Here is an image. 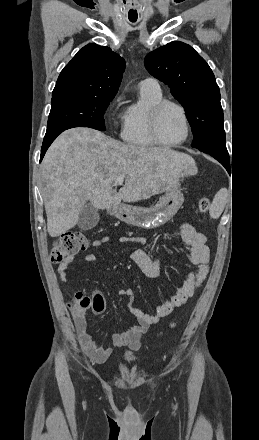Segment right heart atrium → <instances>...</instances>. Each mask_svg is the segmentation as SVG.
Segmentation results:
<instances>
[{"label": "right heart atrium", "mask_w": 259, "mask_h": 440, "mask_svg": "<svg viewBox=\"0 0 259 440\" xmlns=\"http://www.w3.org/2000/svg\"><path fill=\"white\" fill-rule=\"evenodd\" d=\"M120 99H121V97L116 98V102H119ZM121 121H123V117H122V118H115V119H113V125H114V126H117V125H119V123H120Z\"/></svg>", "instance_id": "1"}]
</instances>
